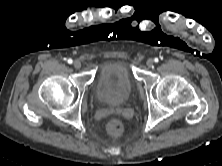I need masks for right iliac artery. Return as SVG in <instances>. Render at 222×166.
Instances as JSON below:
<instances>
[{
    "mask_svg": "<svg viewBox=\"0 0 222 166\" xmlns=\"http://www.w3.org/2000/svg\"><path fill=\"white\" fill-rule=\"evenodd\" d=\"M67 62H68L69 64H72L73 60H72V59H68Z\"/></svg>",
    "mask_w": 222,
    "mask_h": 166,
    "instance_id": "82829eb1",
    "label": "right iliac artery"
}]
</instances>
